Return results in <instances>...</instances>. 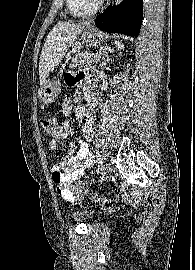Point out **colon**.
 I'll list each match as a JSON object with an SVG mask.
<instances>
[{"label":"colon","mask_w":195,"mask_h":270,"mask_svg":"<svg viewBox=\"0 0 195 270\" xmlns=\"http://www.w3.org/2000/svg\"><path fill=\"white\" fill-rule=\"evenodd\" d=\"M41 125H42L43 129L46 132L50 133L58 125L57 124V118L55 116L42 118L41 119ZM73 191L78 196H86V195H88V196L92 197L97 202H106L105 198L90 192L86 187H84L81 184H78V185L74 186Z\"/></svg>","instance_id":"1"}]
</instances>
